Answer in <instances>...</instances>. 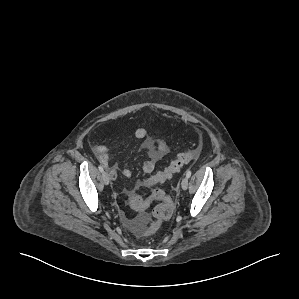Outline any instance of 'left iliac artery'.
<instances>
[{
    "label": "left iliac artery",
    "mask_w": 299,
    "mask_h": 299,
    "mask_svg": "<svg viewBox=\"0 0 299 299\" xmlns=\"http://www.w3.org/2000/svg\"><path fill=\"white\" fill-rule=\"evenodd\" d=\"M190 176H191V171L188 170V171L186 172V177L189 178Z\"/></svg>",
    "instance_id": "obj_1"
}]
</instances>
